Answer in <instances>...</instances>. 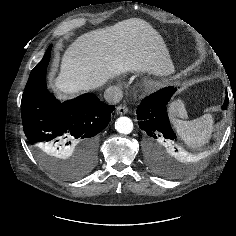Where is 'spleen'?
I'll return each mask as SVG.
<instances>
[{
	"label": "spleen",
	"instance_id": "1",
	"mask_svg": "<svg viewBox=\"0 0 236 236\" xmlns=\"http://www.w3.org/2000/svg\"><path fill=\"white\" fill-rule=\"evenodd\" d=\"M171 122L178 136L192 148L201 147L211 138L213 130L211 114H205L191 121L172 118Z\"/></svg>",
	"mask_w": 236,
	"mask_h": 236
}]
</instances>
